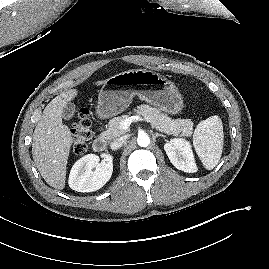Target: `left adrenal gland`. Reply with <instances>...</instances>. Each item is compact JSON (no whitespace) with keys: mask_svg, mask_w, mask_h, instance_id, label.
Listing matches in <instances>:
<instances>
[{"mask_svg":"<svg viewBox=\"0 0 269 269\" xmlns=\"http://www.w3.org/2000/svg\"><path fill=\"white\" fill-rule=\"evenodd\" d=\"M153 137L154 138H156V137H163V138H165V135L160 134V133H155V134H153Z\"/></svg>","mask_w":269,"mask_h":269,"instance_id":"left-adrenal-gland-1","label":"left adrenal gland"}]
</instances>
